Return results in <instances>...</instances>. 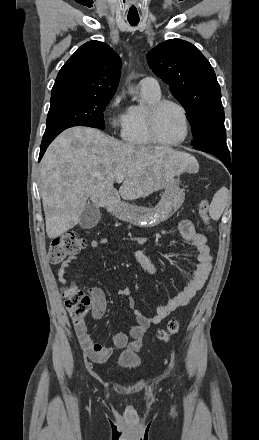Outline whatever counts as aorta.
Masks as SVG:
<instances>
[{"label":"aorta","instance_id":"aorta-1","mask_svg":"<svg viewBox=\"0 0 259 440\" xmlns=\"http://www.w3.org/2000/svg\"><path fill=\"white\" fill-rule=\"evenodd\" d=\"M129 91H130L131 94H136V92H135L134 90H132V89H130ZM134 99H137V97L135 96ZM138 102L141 103L142 101H141V100H138Z\"/></svg>","mask_w":259,"mask_h":440}]
</instances>
